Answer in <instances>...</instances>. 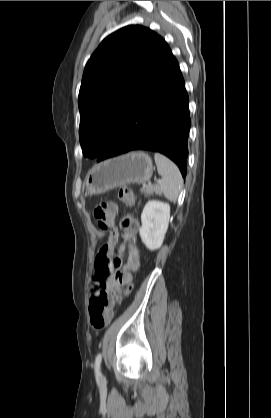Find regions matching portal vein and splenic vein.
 Segmentation results:
<instances>
[{"label":"portal vein and splenic vein","instance_id":"obj_1","mask_svg":"<svg viewBox=\"0 0 271 418\" xmlns=\"http://www.w3.org/2000/svg\"><path fill=\"white\" fill-rule=\"evenodd\" d=\"M157 183H161V180H158Z\"/></svg>","mask_w":271,"mask_h":418}]
</instances>
